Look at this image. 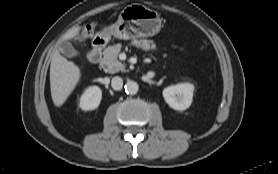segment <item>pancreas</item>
<instances>
[{
  "mask_svg": "<svg viewBox=\"0 0 278 174\" xmlns=\"http://www.w3.org/2000/svg\"><path fill=\"white\" fill-rule=\"evenodd\" d=\"M130 44L137 48H142L145 51L156 49V45L152 40L134 39ZM121 48L122 45L118 43L105 49L103 53L104 57L102 59V65L104 66L106 72L114 74L125 69V65L118 60V55L121 51Z\"/></svg>",
  "mask_w": 278,
  "mask_h": 174,
  "instance_id": "1",
  "label": "pancreas"
}]
</instances>
